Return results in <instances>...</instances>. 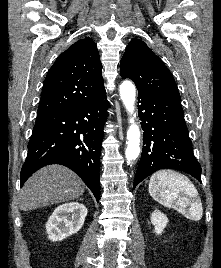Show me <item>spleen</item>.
Segmentation results:
<instances>
[{"mask_svg":"<svg viewBox=\"0 0 221 268\" xmlns=\"http://www.w3.org/2000/svg\"><path fill=\"white\" fill-rule=\"evenodd\" d=\"M150 196L161 205L199 221L203 207L198 191L189 178L171 169L155 172L149 181Z\"/></svg>","mask_w":221,"mask_h":268,"instance_id":"spleen-1","label":"spleen"}]
</instances>
